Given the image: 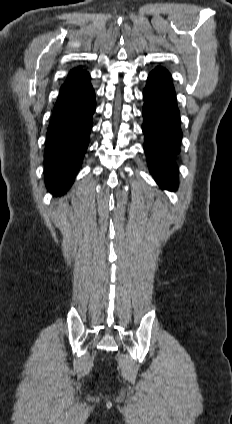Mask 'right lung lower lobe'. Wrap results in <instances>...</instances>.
I'll return each mask as SVG.
<instances>
[{"instance_id":"1","label":"right lung lower lobe","mask_w":232,"mask_h":424,"mask_svg":"<svg viewBox=\"0 0 232 424\" xmlns=\"http://www.w3.org/2000/svg\"><path fill=\"white\" fill-rule=\"evenodd\" d=\"M95 107L89 73L69 74L54 106L44 154L46 185L54 195L71 186L82 164Z\"/></svg>"}]
</instances>
